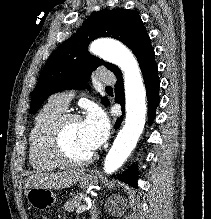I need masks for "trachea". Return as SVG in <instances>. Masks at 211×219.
Instances as JSON below:
<instances>
[{
    "label": "trachea",
    "mask_w": 211,
    "mask_h": 219,
    "mask_svg": "<svg viewBox=\"0 0 211 219\" xmlns=\"http://www.w3.org/2000/svg\"><path fill=\"white\" fill-rule=\"evenodd\" d=\"M105 89H112V87L111 86H107Z\"/></svg>",
    "instance_id": "obj_1"
}]
</instances>
